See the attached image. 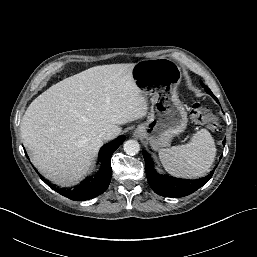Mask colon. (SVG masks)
Returning a JSON list of instances; mask_svg holds the SVG:
<instances>
[{
    "label": "colon",
    "instance_id": "5ec220e1",
    "mask_svg": "<svg viewBox=\"0 0 257 257\" xmlns=\"http://www.w3.org/2000/svg\"><path fill=\"white\" fill-rule=\"evenodd\" d=\"M191 117L198 125L206 126L213 131H218L220 129V125L216 117L200 102L193 103Z\"/></svg>",
    "mask_w": 257,
    "mask_h": 257
}]
</instances>
